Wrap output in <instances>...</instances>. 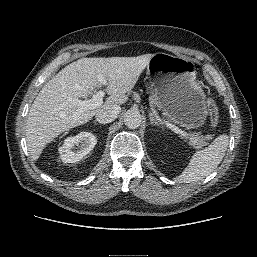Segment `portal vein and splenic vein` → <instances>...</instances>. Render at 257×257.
<instances>
[{
	"instance_id": "18ae733b",
	"label": "portal vein and splenic vein",
	"mask_w": 257,
	"mask_h": 257,
	"mask_svg": "<svg viewBox=\"0 0 257 257\" xmlns=\"http://www.w3.org/2000/svg\"><path fill=\"white\" fill-rule=\"evenodd\" d=\"M97 79L102 85L107 84V79L103 75H97ZM104 95H105L104 91L100 90L93 95L92 99H89V100L73 99L71 101H73V103L78 107V110L76 112L78 114L85 110H91V109H96L100 107L103 104ZM165 123H166V126L170 128L172 131H174L175 133L184 137H189V134L187 132L183 131L182 129L175 126L174 124L169 123L167 121H165Z\"/></svg>"
}]
</instances>
